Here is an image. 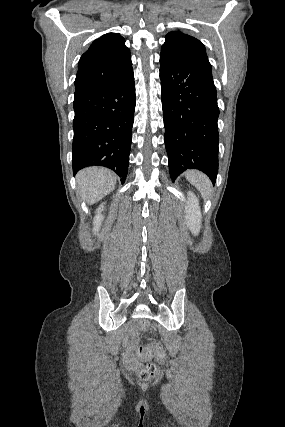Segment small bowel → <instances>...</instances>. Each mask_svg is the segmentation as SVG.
<instances>
[{
	"instance_id": "small-bowel-1",
	"label": "small bowel",
	"mask_w": 285,
	"mask_h": 427,
	"mask_svg": "<svg viewBox=\"0 0 285 427\" xmlns=\"http://www.w3.org/2000/svg\"><path fill=\"white\" fill-rule=\"evenodd\" d=\"M132 350V347H128L127 351L123 354V362L124 364L131 368V369H135L136 368V362L133 358V356L130 354Z\"/></svg>"
}]
</instances>
